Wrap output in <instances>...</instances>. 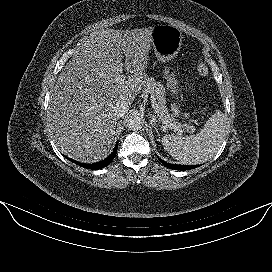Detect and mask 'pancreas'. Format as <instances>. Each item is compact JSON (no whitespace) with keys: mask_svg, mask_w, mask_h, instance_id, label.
Returning a JSON list of instances; mask_svg holds the SVG:
<instances>
[{"mask_svg":"<svg viewBox=\"0 0 272 272\" xmlns=\"http://www.w3.org/2000/svg\"><path fill=\"white\" fill-rule=\"evenodd\" d=\"M143 89L144 91L151 92L155 96L157 105L159 106V113L164 120H166L169 124L180 125V123L175 121V117L168 111L165 98L166 91L160 82L156 81L154 78H146ZM179 114L180 112H178L176 115Z\"/></svg>","mask_w":272,"mask_h":272,"instance_id":"1","label":"pancreas"}]
</instances>
